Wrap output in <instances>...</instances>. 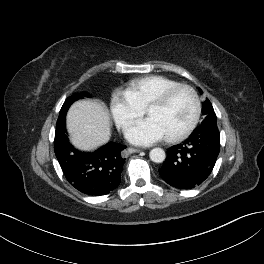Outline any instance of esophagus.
<instances>
[{"label":"esophagus","instance_id":"esophagus-1","mask_svg":"<svg viewBox=\"0 0 264 264\" xmlns=\"http://www.w3.org/2000/svg\"><path fill=\"white\" fill-rule=\"evenodd\" d=\"M141 152V149H136V148H128V153L132 154V153H139Z\"/></svg>","mask_w":264,"mask_h":264}]
</instances>
